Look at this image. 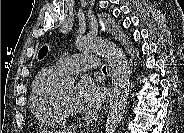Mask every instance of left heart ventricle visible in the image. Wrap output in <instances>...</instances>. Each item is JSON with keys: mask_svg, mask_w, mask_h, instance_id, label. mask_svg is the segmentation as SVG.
Wrapping results in <instances>:
<instances>
[{"mask_svg": "<svg viewBox=\"0 0 184 133\" xmlns=\"http://www.w3.org/2000/svg\"><path fill=\"white\" fill-rule=\"evenodd\" d=\"M62 89V96L67 107L75 114H79V110L74 104V87L72 85L64 86Z\"/></svg>", "mask_w": 184, "mask_h": 133, "instance_id": "1", "label": "left heart ventricle"}]
</instances>
